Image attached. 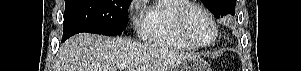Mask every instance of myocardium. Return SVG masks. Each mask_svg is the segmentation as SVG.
<instances>
[{
  "label": "myocardium",
  "instance_id": "myocardium-1",
  "mask_svg": "<svg viewBox=\"0 0 301 71\" xmlns=\"http://www.w3.org/2000/svg\"><path fill=\"white\" fill-rule=\"evenodd\" d=\"M194 9L201 11L209 19V21L211 22V24L213 26V29H214L213 38L210 42H208L206 44H201V43L196 42L195 40L192 39V37L190 36V34L188 32L187 17H188V14ZM174 21H175L176 29H177L180 37L194 48H200V49L209 48L212 45H214L215 42L217 41L218 25H217L213 15L207 9H205L203 6H201L198 3L187 2V3L177 7L176 10L174 11Z\"/></svg>",
  "mask_w": 301,
  "mask_h": 71
}]
</instances>
